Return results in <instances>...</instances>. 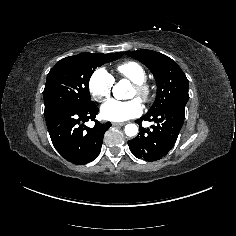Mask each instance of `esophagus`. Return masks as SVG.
<instances>
[{
    "label": "esophagus",
    "mask_w": 236,
    "mask_h": 236,
    "mask_svg": "<svg viewBox=\"0 0 236 236\" xmlns=\"http://www.w3.org/2000/svg\"><path fill=\"white\" fill-rule=\"evenodd\" d=\"M125 124H126L125 122H123V123L113 122V123H112L113 126H123V125H125Z\"/></svg>",
    "instance_id": "esophagus-1"
}]
</instances>
